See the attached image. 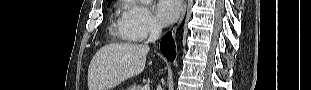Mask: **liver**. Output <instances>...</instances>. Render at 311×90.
I'll return each instance as SVG.
<instances>
[{"instance_id": "6515ba94", "label": "liver", "mask_w": 311, "mask_h": 90, "mask_svg": "<svg viewBox=\"0 0 311 90\" xmlns=\"http://www.w3.org/2000/svg\"><path fill=\"white\" fill-rule=\"evenodd\" d=\"M149 47L145 44H108L92 58L88 69L89 90H111L141 74Z\"/></svg>"}]
</instances>
